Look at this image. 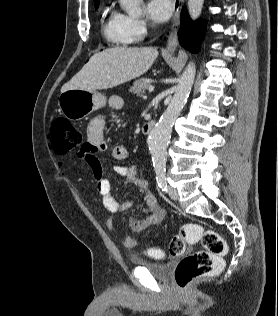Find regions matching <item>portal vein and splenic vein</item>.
<instances>
[{
    "label": "portal vein and splenic vein",
    "instance_id": "1",
    "mask_svg": "<svg viewBox=\"0 0 278 316\" xmlns=\"http://www.w3.org/2000/svg\"><path fill=\"white\" fill-rule=\"evenodd\" d=\"M153 90H154V86H153V85H150L149 88H148V91H149V92H152Z\"/></svg>",
    "mask_w": 278,
    "mask_h": 316
}]
</instances>
